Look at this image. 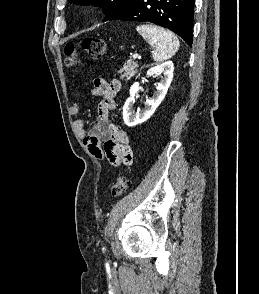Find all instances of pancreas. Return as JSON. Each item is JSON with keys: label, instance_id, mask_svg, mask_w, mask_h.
I'll return each instance as SVG.
<instances>
[{"label": "pancreas", "instance_id": "obj_1", "mask_svg": "<svg viewBox=\"0 0 259 294\" xmlns=\"http://www.w3.org/2000/svg\"><path fill=\"white\" fill-rule=\"evenodd\" d=\"M138 64L135 61H126L123 65V67L119 70L118 73H120V79L121 80H129L131 77L135 75L138 71Z\"/></svg>", "mask_w": 259, "mask_h": 294}]
</instances>
